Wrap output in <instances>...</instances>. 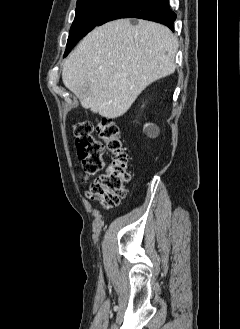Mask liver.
Listing matches in <instances>:
<instances>
[{
    "instance_id": "liver-1",
    "label": "liver",
    "mask_w": 240,
    "mask_h": 329,
    "mask_svg": "<svg viewBox=\"0 0 240 329\" xmlns=\"http://www.w3.org/2000/svg\"><path fill=\"white\" fill-rule=\"evenodd\" d=\"M178 40L165 26L119 19L96 27L65 60L62 80L85 108L108 119L125 114L151 83L176 68Z\"/></svg>"
}]
</instances>
